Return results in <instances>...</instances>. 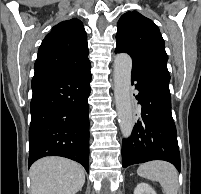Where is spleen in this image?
I'll return each mask as SVG.
<instances>
[{
	"instance_id": "3e777b00",
	"label": "spleen",
	"mask_w": 201,
	"mask_h": 194,
	"mask_svg": "<svg viewBox=\"0 0 201 194\" xmlns=\"http://www.w3.org/2000/svg\"><path fill=\"white\" fill-rule=\"evenodd\" d=\"M137 174L159 182L165 194H177L178 174L172 164L165 161H151L140 165Z\"/></svg>"
}]
</instances>
